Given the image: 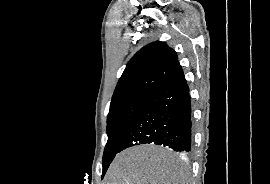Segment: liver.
Wrapping results in <instances>:
<instances>
[{
  "mask_svg": "<svg viewBox=\"0 0 270 184\" xmlns=\"http://www.w3.org/2000/svg\"><path fill=\"white\" fill-rule=\"evenodd\" d=\"M189 174L170 159L169 151L152 144L119 153L106 174V184H188Z\"/></svg>",
  "mask_w": 270,
  "mask_h": 184,
  "instance_id": "obj_1",
  "label": "liver"
}]
</instances>
